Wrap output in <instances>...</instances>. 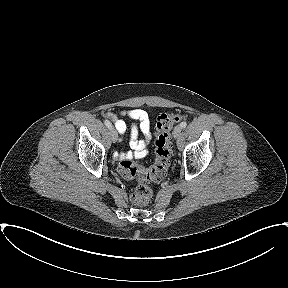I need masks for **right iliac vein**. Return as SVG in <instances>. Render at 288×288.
I'll use <instances>...</instances> for the list:
<instances>
[{"instance_id": "obj_1", "label": "right iliac vein", "mask_w": 288, "mask_h": 288, "mask_svg": "<svg viewBox=\"0 0 288 288\" xmlns=\"http://www.w3.org/2000/svg\"><path fill=\"white\" fill-rule=\"evenodd\" d=\"M110 134H111V139L113 143H115L117 141L118 134L113 127L110 128Z\"/></svg>"}]
</instances>
